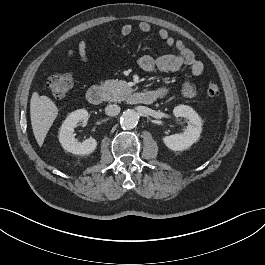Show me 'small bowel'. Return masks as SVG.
<instances>
[{
	"label": "small bowel",
	"mask_w": 265,
	"mask_h": 265,
	"mask_svg": "<svg viewBox=\"0 0 265 265\" xmlns=\"http://www.w3.org/2000/svg\"><path fill=\"white\" fill-rule=\"evenodd\" d=\"M139 30L143 33H149L151 31V25L147 22H141L139 24ZM132 32V26L130 24H124L121 28V36L126 37ZM158 36L166 43L167 46L176 50L175 54H166L154 58L149 55L141 56L137 63L140 69L145 72L161 71V72H175L182 67H187L192 76H200L204 72V64L198 60L193 51L187 47L182 40H177L172 37L165 29L158 31ZM87 43L85 40H81L78 43V53L83 62H87L86 55ZM75 54L74 49H70L67 52L68 57H72ZM159 97H164L169 92V88L165 85H161L153 90ZM182 93L186 97H194L197 94V88L194 84L186 79L182 85Z\"/></svg>",
	"instance_id": "1"
}]
</instances>
